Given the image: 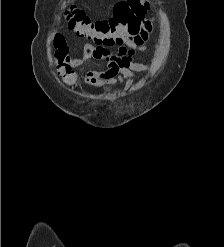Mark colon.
<instances>
[{
    "label": "colon",
    "instance_id": "1",
    "mask_svg": "<svg viewBox=\"0 0 224 247\" xmlns=\"http://www.w3.org/2000/svg\"><path fill=\"white\" fill-rule=\"evenodd\" d=\"M149 9L148 0H126L114 6L113 15L109 19L92 21L73 2H68L62 14L68 28L78 36L94 42H112L137 32ZM58 71L69 82L75 79V73L67 63H59Z\"/></svg>",
    "mask_w": 224,
    "mask_h": 247
}]
</instances>
